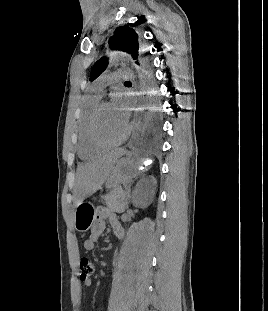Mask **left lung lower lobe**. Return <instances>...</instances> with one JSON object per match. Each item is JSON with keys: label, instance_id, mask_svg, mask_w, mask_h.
<instances>
[{"label": "left lung lower lobe", "instance_id": "0a47b994", "mask_svg": "<svg viewBox=\"0 0 268 311\" xmlns=\"http://www.w3.org/2000/svg\"><path fill=\"white\" fill-rule=\"evenodd\" d=\"M138 66L141 74L144 77L145 83L153 90L155 80L151 61L146 57H142L140 65ZM160 121L161 111L159 109V106L156 105L152 108V111L146 116L145 119V141H160L161 139H163V132H157L160 126Z\"/></svg>", "mask_w": 268, "mask_h": 311}]
</instances>
